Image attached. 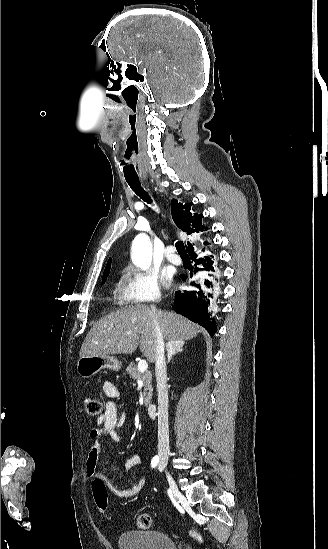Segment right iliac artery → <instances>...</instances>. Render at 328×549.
I'll return each instance as SVG.
<instances>
[{"mask_svg": "<svg viewBox=\"0 0 328 549\" xmlns=\"http://www.w3.org/2000/svg\"><path fill=\"white\" fill-rule=\"evenodd\" d=\"M158 462H159V457L156 455V456H154V457L152 458L151 466H152L153 468H155V467L157 466Z\"/></svg>", "mask_w": 328, "mask_h": 549, "instance_id": "obj_1", "label": "right iliac artery"}]
</instances>
